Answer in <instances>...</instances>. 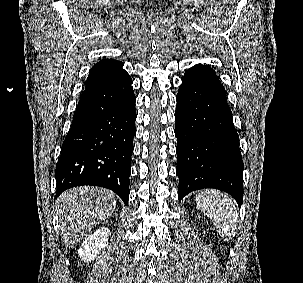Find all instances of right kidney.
Returning <instances> with one entry per match:
<instances>
[{"label":"right kidney","instance_id":"1","mask_svg":"<svg viewBox=\"0 0 303 283\" xmlns=\"http://www.w3.org/2000/svg\"><path fill=\"white\" fill-rule=\"evenodd\" d=\"M109 235L110 230L106 227H101L93 232L85 239L78 250L79 257L84 262H91L94 260L101 250L105 248Z\"/></svg>","mask_w":303,"mask_h":283}]
</instances>
